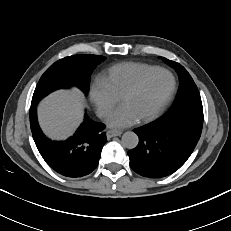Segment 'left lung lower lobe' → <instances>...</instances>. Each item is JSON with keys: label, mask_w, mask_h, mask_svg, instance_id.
I'll use <instances>...</instances> for the list:
<instances>
[{"label": "left lung lower lobe", "mask_w": 231, "mask_h": 231, "mask_svg": "<svg viewBox=\"0 0 231 231\" xmlns=\"http://www.w3.org/2000/svg\"><path fill=\"white\" fill-rule=\"evenodd\" d=\"M203 121L195 119L157 120L134 132L136 148L128 152L131 168L149 178H161L177 171L193 152Z\"/></svg>", "instance_id": "obj_1"}]
</instances>
